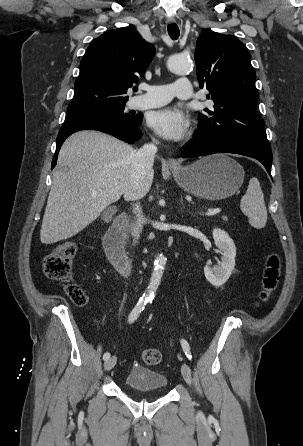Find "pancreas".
Segmentation results:
<instances>
[{
    "label": "pancreas",
    "mask_w": 303,
    "mask_h": 446,
    "mask_svg": "<svg viewBox=\"0 0 303 446\" xmlns=\"http://www.w3.org/2000/svg\"><path fill=\"white\" fill-rule=\"evenodd\" d=\"M224 220H227L226 217H223Z\"/></svg>",
    "instance_id": "1"
}]
</instances>
